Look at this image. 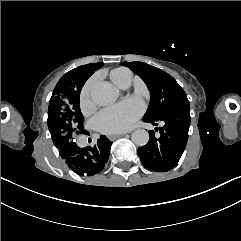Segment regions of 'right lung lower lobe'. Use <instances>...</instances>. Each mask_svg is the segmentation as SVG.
Masks as SVG:
<instances>
[{
	"label": "right lung lower lobe",
	"mask_w": 241,
	"mask_h": 241,
	"mask_svg": "<svg viewBox=\"0 0 241 241\" xmlns=\"http://www.w3.org/2000/svg\"><path fill=\"white\" fill-rule=\"evenodd\" d=\"M112 142L101 136L93 147L80 148L76 143L59 148V153L68 167L80 176H92L101 172L110 155Z\"/></svg>",
	"instance_id": "obj_1"
}]
</instances>
